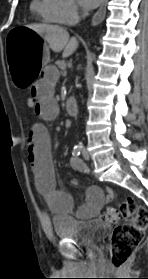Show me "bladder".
Returning a JSON list of instances; mask_svg holds the SVG:
<instances>
[{"label": "bladder", "instance_id": "1", "mask_svg": "<svg viewBox=\"0 0 148 279\" xmlns=\"http://www.w3.org/2000/svg\"><path fill=\"white\" fill-rule=\"evenodd\" d=\"M52 224L58 238L78 245L93 247L109 233V225L97 220H78L72 216H56Z\"/></svg>", "mask_w": 148, "mask_h": 279}]
</instances>
